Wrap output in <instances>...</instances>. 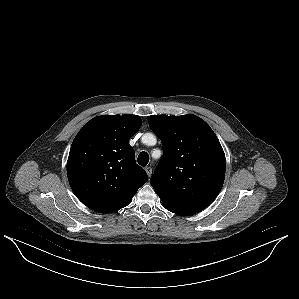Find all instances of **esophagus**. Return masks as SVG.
Returning <instances> with one entry per match:
<instances>
[{
  "instance_id": "34e87169",
  "label": "esophagus",
  "mask_w": 299,
  "mask_h": 299,
  "mask_svg": "<svg viewBox=\"0 0 299 299\" xmlns=\"http://www.w3.org/2000/svg\"><path fill=\"white\" fill-rule=\"evenodd\" d=\"M145 171H146L148 177H151V175H152V168L149 167V166H147V167H145Z\"/></svg>"
}]
</instances>
